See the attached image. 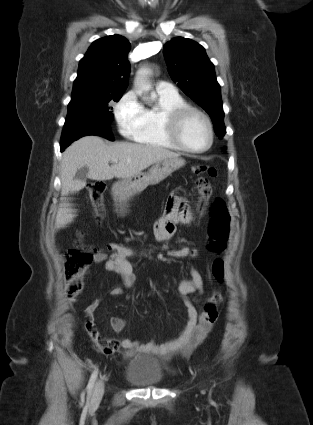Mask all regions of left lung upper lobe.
Wrapping results in <instances>:
<instances>
[{"label":"left lung upper lobe","instance_id":"5c2ea615","mask_svg":"<svg viewBox=\"0 0 313 425\" xmlns=\"http://www.w3.org/2000/svg\"><path fill=\"white\" fill-rule=\"evenodd\" d=\"M163 52L172 80L210 115L222 139L226 128L221 90L205 49L191 39L176 37L164 45Z\"/></svg>","mask_w":313,"mask_h":425}]
</instances>
